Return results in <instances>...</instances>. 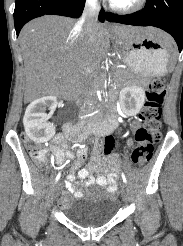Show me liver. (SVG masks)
I'll use <instances>...</instances> for the list:
<instances>
[{
  "label": "liver",
  "mask_w": 183,
  "mask_h": 246,
  "mask_svg": "<svg viewBox=\"0 0 183 246\" xmlns=\"http://www.w3.org/2000/svg\"><path fill=\"white\" fill-rule=\"evenodd\" d=\"M120 45L123 39L149 35L166 45L169 35L155 28L120 26L115 29ZM24 60V99L68 95L82 75L97 67L109 47V34L99 23L86 35L77 21L45 15L27 23L19 35Z\"/></svg>",
  "instance_id": "obj_1"
}]
</instances>
